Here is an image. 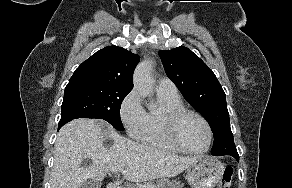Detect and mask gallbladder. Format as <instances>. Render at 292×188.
<instances>
[{"label":"gallbladder","instance_id":"obj_1","mask_svg":"<svg viewBox=\"0 0 292 188\" xmlns=\"http://www.w3.org/2000/svg\"><path fill=\"white\" fill-rule=\"evenodd\" d=\"M101 183L102 182H92V181H87L82 188H101Z\"/></svg>","mask_w":292,"mask_h":188}]
</instances>
